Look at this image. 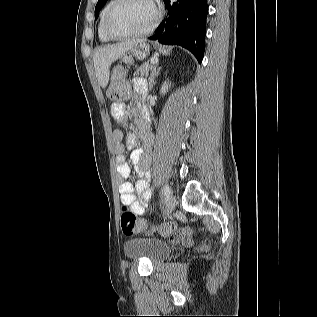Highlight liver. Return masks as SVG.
Listing matches in <instances>:
<instances>
[{"label": "liver", "instance_id": "6515ba94", "mask_svg": "<svg viewBox=\"0 0 317 317\" xmlns=\"http://www.w3.org/2000/svg\"><path fill=\"white\" fill-rule=\"evenodd\" d=\"M140 41H126L116 45H109L97 48L93 55L96 77L102 88H105L109 81V68L111 64L122 57L132 46Z\"/></svg>", "mask_w": 317, "mask_h": 317}]
</instances>
